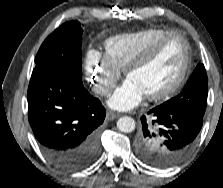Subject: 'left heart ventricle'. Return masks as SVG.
<instances>
[{
    "instance_id": "b2bd125f",
    "label": "left heart ventricle",
    "mask_w": 223,
    "mask_h": 188,
    "mask_svg": "<svg viewBox=\"0 0 223 188\" xmlns=\"http://www.w3.org/2000/svg\"><path fill=\"white\" fill-rule=\"evenodd\" d=\"M185 56V47L181 38H168L145 63L134 69L129 79L145 95L166 88L178 77Z\"/></svg>"
}]
</instances>
